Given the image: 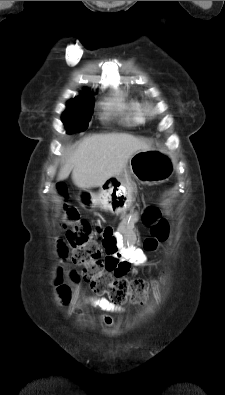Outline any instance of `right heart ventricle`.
Masks as SVG:
<instances>
[{
	"instance_id": "e07e8e85",
	"label": "right heart ventricle",
	"mask_w": 225,
	"mask_h": 395,
	"mask_svg": "<svg viewBox=\"0 0 225 395\" xmlns=\"http://www.w3.org/2000/svg\"><path fill=\"white\" fill-rule=\"evenodd\" d=\"M105 108L109 113L116 115L126 125L135 126L144 122L141 112V103L124 92H118L110 98Z\"/></svg>"
}]
</instances>
